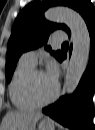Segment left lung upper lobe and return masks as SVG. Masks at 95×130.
I'll return each mask as SVG.
<instances>
[{
    "instance_id": "obj_1",
    "label": "left lung upper lobe",
    "mask_w": 95,
    "mask_h": 130,
    "mask_svg": "<svg viewBox=\"0 0 95 130\" xmlns=\"http://www.w3.org/2000/svg\"><path fill=\"white\" fill-rule=\"evenodd\" d=\"M57 5L71 7L83 18L94 12L90 0H43L28 4L16 18L8 42L5 68L7 82L11 80L16 63L23 52L46 43L50 32L56 29H63L70 34L65 25L50 23L44 19V11ZM46 49L51 51L50 47ZM51 54L57 58L60 51H51Z\"/></svg>"
}]
</instances>
